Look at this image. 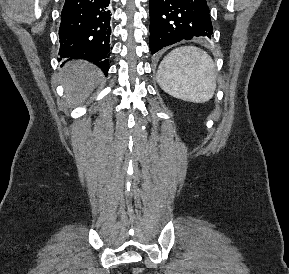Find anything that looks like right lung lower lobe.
<instances>
[{"label": "right lung lower lobe", "instance_id": "obj_1", "mask_svg": "<svg viewBox=\"0 0 289 274\" xmlns=\"http://www.w3.org/2000/svg\"><path fill=\"white\" fill-rule=\"evenodd\" d=\"M109 3L110 0H65L59 28L61 58L86 59L107 74Z\"/></svg>", "mask_w": 289, "mask_h": 274}]
</instances>
